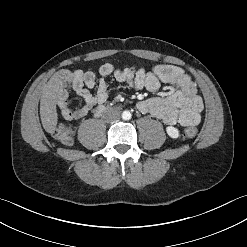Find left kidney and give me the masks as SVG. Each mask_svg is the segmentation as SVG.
<instances>
[{"label":"left kidney","instance_id":"5707ae66","mask_svg":"<svg viewBox=\"0 0 247 247\" xmlns=\"http://www.w3.org/2000/svg\"><path fill=\"white\" fill-rule=\"evenodd\" d=\"M166 132L173 139H176V138L179 137V131H178V129L175 128V127H173V126H168L166 128Z\"/></svg>","mask_w":247,"mask_h":247}]
</instances>
